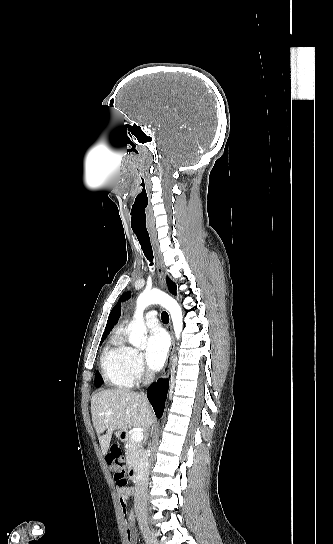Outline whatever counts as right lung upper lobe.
I'll return each mask as SVG.
<instances>
[{
  "mask_svg": "<svg viewBox=\"0 0 333 544\" xmlns=\"http://www.w3.org/2000/svg\"><path fill=\"white\" fill-rule=\"evenodd\" d=\"M121 305L120 304H117L111 311L110 315H109V318H108V321H107V325H106V328H105V331L103 333V336L102 338L106 337L109 332L111 331V329L114 327V325L117 323L119 317H120V314H121V309H120Z\"/></svg>",
  "mask_w": 333,
  "mask_h": 544,
  "instance_id": "cb5924a9",
  "label": "right lung upper lobe"
}]
</instances>
